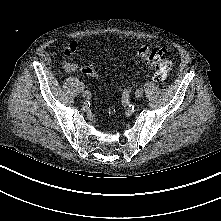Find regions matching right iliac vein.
<instances>
[{"mask_svg":"<svg viewBox=\"0 0 221 221\" xmlns=\"http://www.w3.org/2000/svg\"><path fill=\"white\" fill-rule=\"evenodd\" d=\"M84 84L81 82L80 83V90L83 92V96H84V93H85V91H84Z\"/></svg>","mask_w":221,"mask_h":221,"instance_id":"1","label":"right iliac vein"}]
</instances>
